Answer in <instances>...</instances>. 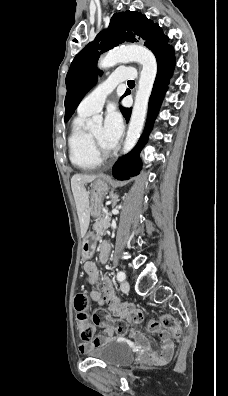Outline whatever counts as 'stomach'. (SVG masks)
Here are the masks:
<instances>
[{"mask_svg": "<svg viewBox=\"0 0 228 396\" xmlns=\"http://www.w3.org/2000/svg\"><path fill=\"white\" fill-rule=\"evenodd\" d=\"M109 179L106 176H100L92 184L91 190V214L98 218L103 216V198L109 190ZM98 236L94 232H88L81 244V255L84 260L93 256L97 244Z\"/></svg>", "mask_w": 228, "mask_h": 396, "instance_id": "0dacf381", "label": "stomach"}]
</instances>
